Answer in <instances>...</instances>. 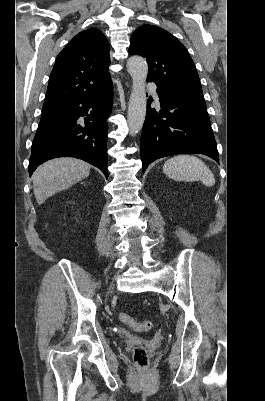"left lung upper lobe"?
<instances>
[{
	"mask_svg": "<svg viewBox=\"0 0 265 401\" xmlns=\"http://www.w3.org/2000/svg\"><path fill=\"white\" fill-rule=\"evenodd\" d=\"M129 53L147 59L148 81L157 87L202 93L196 67L184 45L166 30L143 25L132 35Z\"/></svg>",
	"mask_w": 265,
	"mask_h": 401,
	"instance_id": "1",
	"label": "left lung upper lobe"
}]
</instances>
